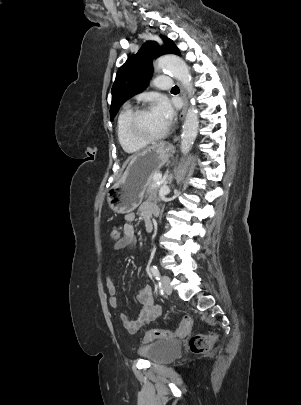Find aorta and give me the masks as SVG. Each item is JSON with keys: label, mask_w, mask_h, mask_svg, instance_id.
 I'll list each match as a JSON object with an SVG mask.
<instances>
[{"label": "aorta", "mask_w": 301, "mask_h": 405, "mask_svg": "<svg viewBox=\"0 0 301 405\" xmlns=\"http://www.w3.org/2000/svg\"><path fill=\"white\" fill-rule=\"evenodd\" d=\"M157 69L171 73L182 83L189 97L192 96L193 86L189 68L180 57L175 55L161 57L157 62ZM198 126V112L192 103V106H190L187 111L181 135L180 148L184 155L191 150L192 145L194 144L197 137Z\"/></svg>", "instance_id": "obj_1"}]
</instances>
